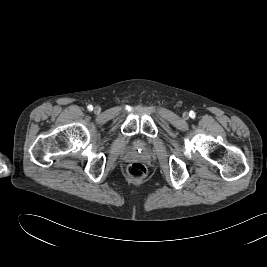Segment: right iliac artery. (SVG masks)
<instances>
[{
	"label": "right iliac artery",
	"instance_id": "1",
	"mask_svg": "<svg viewBox=\"0 0 267 267\" xmlns=\"http://www.w3.org/2000/svg\"><path fill=\"white\" fill-rule=\"evenodd\" d=\"M87 109H88L89 111H92V110H93V106H92V105H88V106H87Z\"/></svg>",
	"mask_w": 267,
	"mask_h": 267
}]
</instances>
